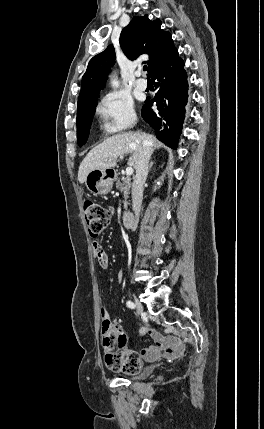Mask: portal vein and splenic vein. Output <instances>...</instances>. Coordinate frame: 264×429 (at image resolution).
<instances>
[{"label":"portal vein and splenic vein","instance_id":"portal-vein-and-splenic-vein-1","mask_svg":"<svg viewBox=\"0 0 264 429\" xmlns=\"http://www.w3.org/2000/svg\"><path fill=\"white\" fill-rule=\"evenodd\" d=\"M123 158V157H120ZM133 174V168L132 167H127L126 168V175L127 176H131Z\"/></svg>","mask_w":264,"mask_h":429}]
</instances>
